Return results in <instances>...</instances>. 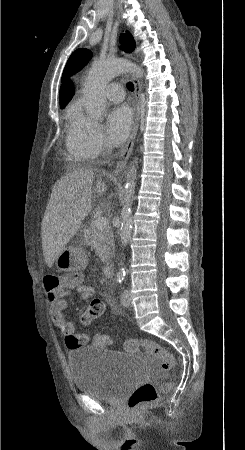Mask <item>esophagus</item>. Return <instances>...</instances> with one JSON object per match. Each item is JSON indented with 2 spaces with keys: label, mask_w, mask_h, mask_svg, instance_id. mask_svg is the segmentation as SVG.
Segmentation results:
<instances>
[{
  "label": "esophagus",
  "mask_w": 245,
  "mask_h": 450,
  "mask_svg": "<svg viewBox=\"0 0 245 450\" xmlns=\"http://www.w3.org/2000/svg\"><path fill=\"white\" fill-rule=\"evenodd\" d=\"M132 80L134 83V99H135V120H134V124L132 127V131L131 134L129 136V139L126 143V145L124 146L123 150L121 151V154L119 156V160L117 162V166L115 168V170L113 171L112 175H118L119 173H121L124 169V167L126 166V163L133 151V147H134V143H135V138L137 135V131H138V126H139V122H140V112H141V100H140V95H141V86L139 81L137 80V78L133 75L132 76Z\"/></svg>",
  "instance_id": "34e87169"
}]
</instances>
